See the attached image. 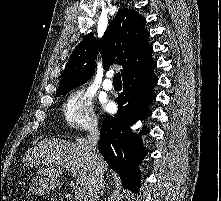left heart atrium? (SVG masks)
<instances>
[{"label":"left heart atrium","mask_w":221,"mask_h":201,"mask_svg":"<svg viewBox=\"0 0 221 201\" xmlns=\"http://www.w3.org/2000/svg\"><path fill=\"white\" fill-rule=\"evenodd\" d=\"M106 108H109V105H108V104H106Z\"/></svg>","instance_id":"1"}]
</instances>
